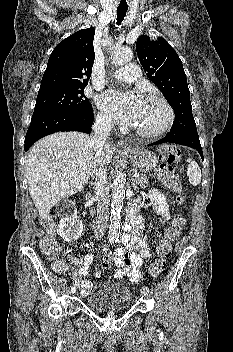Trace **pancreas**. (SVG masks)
<instances>
[{"instance_id": "cf45deb5", "label": "pancreas", "mask_w": 233, "mask_h": 352, "mask_svg": "<svg viewBox=\"0 0 233 352\" xmlns=\"http://www.w3.org/2000/svg\"><path fill=\"white\" fill-rule=\"evenodd\" d=\"M135 181L137 185H139L142 188H144L149 183L148 177L144 174H141L139 175V177L135 178Z\"/></svg>"}]
</instances>
